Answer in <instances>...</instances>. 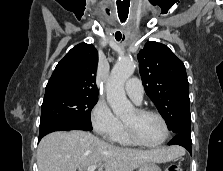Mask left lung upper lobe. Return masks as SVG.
Wrapping results in <instances>:
<instances>
[{"mask_svg":"<svg viewBox=\"0 0 223 171\" xmlns=\"http://www.w3.org/2000/svg\"><path fill=\"white\" fill-rule=\"evenodd\" d=\"M138 60L146 94L169 130L191 138L189 84L183 62L166 45L154 41L139 51Z\"/></svg>","mask_w":223,"mask_h":171,"instance_id":"5c2ea615","label":"left lung upper lobe"}]
</instances>
